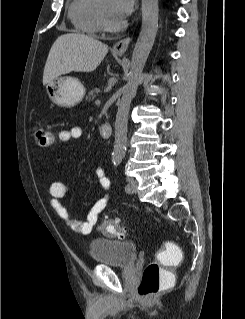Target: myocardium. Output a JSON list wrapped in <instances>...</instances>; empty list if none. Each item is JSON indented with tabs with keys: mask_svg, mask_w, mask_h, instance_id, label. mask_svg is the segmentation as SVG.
<instances>
[{
	"mask_svg": "<svg viewBox=\"0 0 245 319\" xmlns=\"http://www.w3.org/2000/svg\"><path fill=\"white\" fill-rule=\"evenodd\" d=\"M99 17L102 29L108 32H116L125 28L126 23L123 21L115 22L111 20L102 6V2L100 0L99 3Z\"/></svg>",
	"mask_w": 245,
	"mask_h": 319,
	"instance_id": "f54148a6",
	"label": "myocardium"
}]
</instances>
